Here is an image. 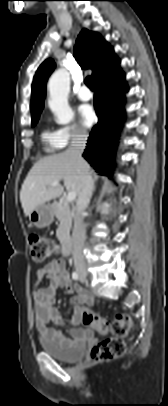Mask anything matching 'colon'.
Segmentation results:
<instances>
[{
    "label": "colon",
    "instance_id": "colon-1",
    "mask_svg": "<svg viewBox=\"0 0 168 406\" xmlns=\"http://www.w3.org/2000/svg\"><path fill=\"white\" fill-rule=\"evenodd\" d=\"M31 258L40 263L49 258L54 250L52 241L41 234L33 233L28 238ZM82 322L93 324L98 332L110 334L92 347L89 358L92 362H104L121 357L125 352L124 338L131 327V320L125 314H117L111 319L92 314L82 313Z\"/></svg>",
    "mask_w": 168,
    "mask_h": 406
}]
</instances>
